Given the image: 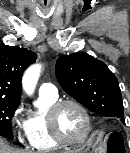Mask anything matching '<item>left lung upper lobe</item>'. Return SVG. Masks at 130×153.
Segmentation results:
<instances>
[{
    "label": "left lung upper lobe",
    "mask_w": 130,
    "mask_h": 153,
    "mask_svg": "<svg viewBox=\"0 0 130 153\" xmlns=\"http://www.w3.org/2000/svg\"><path fill=\"white\" fill-rule=\"evenodd\" d=\"M56 77L62 88L90 111L124 122V109L116 76L100 60L87 53L58 58Z\"/></svg>",
    "instance_id": "5c2ea615"
}]
</instances>
